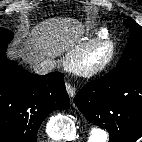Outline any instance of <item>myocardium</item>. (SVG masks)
Masks as SVG:
<instances>
[{
	"label": "myocardium",
	"mask_w": 142,
	"mask_h": 142,
	"mask_svg": "<svg viewBox=\"0 0 142 142\" xmlns=\"http://www.w3.org/2000/svg\"><path fill=\"white\" fill-rule=\"evenodd\" d=\"M100 46L107 47L106 56L95 63H88L87 58L91 52ZM116 54V45L108 36H99L73 51L67 58L66 65L72 72L91 77L104 71L113 61Z\"/></svg>",
	"instance_id": "f54148a6"
}]
</instances>
